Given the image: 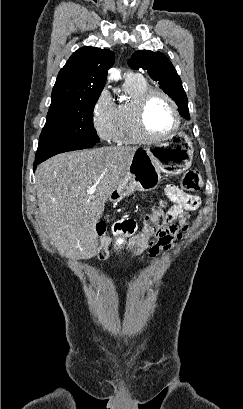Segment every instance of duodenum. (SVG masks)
Instances as JSON below:
<instances>
[{
	"label": "duodenum",
	"mask_w": 243,
	"mask_h": 409,
	"mask_svg": "<svg viewBox=\"0 0 243 409\" xmlns=\"http://www.w3.org/2000/svg\"><path fill=\"white\" fill-rule=\"evenodd\" d=\"M134 228V224L130 220H124L117 223L114 227L115 231L118 232H132Z\"/></svg>",
	"instance_id": "1"
}]
</instances>
